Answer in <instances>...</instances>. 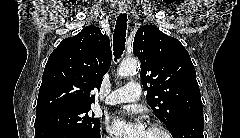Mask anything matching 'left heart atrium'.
Wrapping results in <instances>:
<instances>
[{
  "label": "left heart atrium",
  "instance_id": "39dd6f15",
  "mask_svg": "<svg viewBox=\"0 0 240 138\" xmlns=\"http://www.w3.org/2000/svg\"><path fill=\"white\" fill-rule=\"evenodd\" d=\"M110 130L120 138H144L147 131L141 120L123 116L112 119Z\"/></svg>",
  "mask_w": 240,
  "mask_h": 138
}]
</instances>
